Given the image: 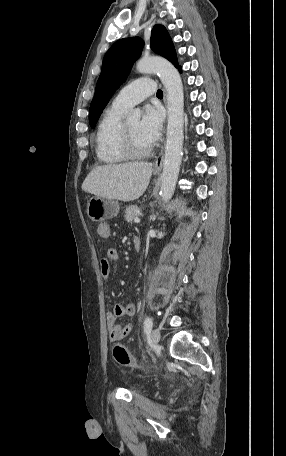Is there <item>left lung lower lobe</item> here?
<instances>
[{
    "instance_id": "left-lung-lower-lobe-1",
    "label": "left lung lower lobe",
    "mask_w": 286,
    "mask_h": 456,
    "mask_svg": "<svg viewBox=\"0 0 286 456\" xmlns=\"http://www.w3.org/2000/svg\"><path fill=\"white\" fill-rule=\"evenodd\" d=\"M177 68L179 69V71L181 72V67L178 65Z\"/></svg>"
}]
</instances>
